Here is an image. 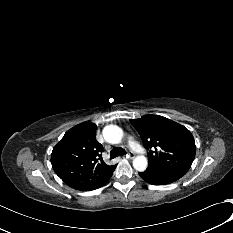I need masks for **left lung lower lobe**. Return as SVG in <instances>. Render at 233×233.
<instances>
[{
  "mask_svg": "<svg viewBox=\"0 0 233 233\" xmlns=\"http://www.w3.org/2000/svg\"><path fill=\"white\" fill-rule=\"evenodd\" d=\"M139 175L146 182H148L149 184H152V185H166V184H170V183L174 182V181H171L165 177H162L161 175H159L155 172H152L148 169L142 173H139Z\"/></svg>",
  "mask_w": 233,
  "mask_h": 233,
  "instance_id": "obj_1",
  "label": "left lung lower lobe"
}]
</instances>
